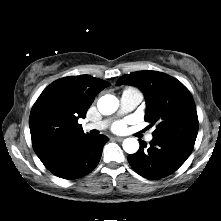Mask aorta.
Wrapping results in <instances>:
<instances>
[{"mask_svg":"<svg viewBox=\"0 0 221 221\" xmlns=\"http://www.w3.org/2000/svg\"><path fill=\"white\" fill-rule=\"evenodd\" d=\"M119 106L118 99L113 95L102 96L97 103L98 110L103 115L113 114ZM123 149L128 154L136 153L139 149V142L135 138H126L123 141Z\"/></svg>","mask_w":221,"mask_h":221,"instance_id":"1","label":"aorta"}]
</instances>
